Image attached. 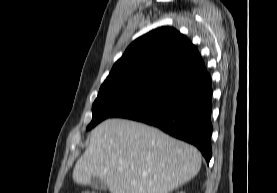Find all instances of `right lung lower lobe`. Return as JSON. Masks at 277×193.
I'll use <instances>...</instances> for the list:
<instances>
[{
	"label": "right lung lower lobe",
	"instance_id": "1",
	"mask_svg": "<svg viewBox=\"0 0 277 193\" xmlns=\"http://www.w3.org/2000/svg\"><path fill=\"white\" fill-rule=\"evenodd\" d=\"M211 76L205 66L178 78L114 117L140 121L195 145L209 163L211 149Z\"/></svg>",
	"mask_w": 277,
	"mask_h": 193
}]
</instances>
